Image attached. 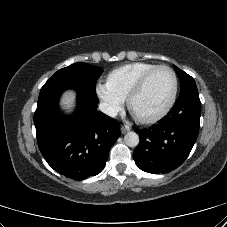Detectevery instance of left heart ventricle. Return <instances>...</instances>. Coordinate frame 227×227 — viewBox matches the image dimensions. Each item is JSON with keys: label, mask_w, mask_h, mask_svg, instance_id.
I'll return each mask as SVG.
<instances>
[{"label": "left heart ventricle", "mask_w": 227, "mask_h": 227, "mask_svg": "<svg viewBox=\"0 0 227 227\" xmlns=\"http://www.w3.org/2000/svg\"><path fill=\"white\" fill-rule=\"evenodd\" d=\"M173 89V76L167 69L156 71L142 91L135 97L132 110L136 116L149 117L159 112L168 102Z\"/></svg>", "instance_id": "obj_1"}]
</instances>
